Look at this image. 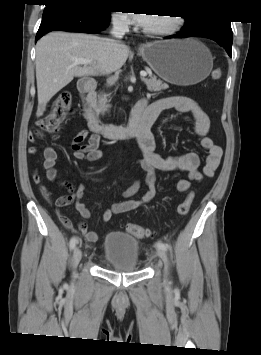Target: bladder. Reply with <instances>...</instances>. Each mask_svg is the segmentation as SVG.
<instances>
[{"label":"bladder","instance_id":"31cf9c89","mask_svg":"<svg viewBox=\"0 0 261 355\" xmlns=\"http://www.w3.org/2000/svg\"><path fill=\"white\" fill-rule=\"evenodd\" d=\"M104 258L113 268L123 272L139 269V244L129 235L110 232L105 238Z\"/></svg>","mask_w":261,"mask_h":355}]
</instances>
